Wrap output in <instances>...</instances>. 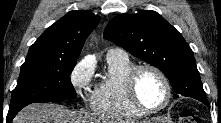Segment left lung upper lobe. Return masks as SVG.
Wrapping results in <instances>:
<instances>
[{"mask_svg": "<svg viewBox=\"0 0 221 123\" xmlns=\"http://www.w3.org/2000/svg\"><path fill=\"white\" fill-rule=\"evenodd\" d=\"M104 38L160 69L176 94L207 104L191 48L157 12L118 15L106 26Z\"/></svg>", "mask_w": 221, "mask_h": 123, "instance_id": "1", "label": "left lung upper lobe"}]
</instances>
